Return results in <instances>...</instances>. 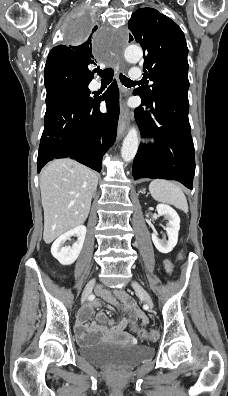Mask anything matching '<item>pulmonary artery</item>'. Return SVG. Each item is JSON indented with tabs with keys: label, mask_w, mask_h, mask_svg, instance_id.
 I'll return each instance as SVG.
<instances>
[{
	"label": "pulmonary artery",
	"mask_w": 228,
	"mask_h": 396,
	"mask_svg": "<svg viewBox=\"0 0 228 396\" xmlns=\"http://www.w3.org/2000/svg\"><path fill=\"white\" fill-rule=\"evenodd\" d=\"M130 77L133 80H139L142 77V70L139 67H134L130 71Z\"/></svg>",
	"instance_id": "pulmonary-artery-1"
}]
</instances>
